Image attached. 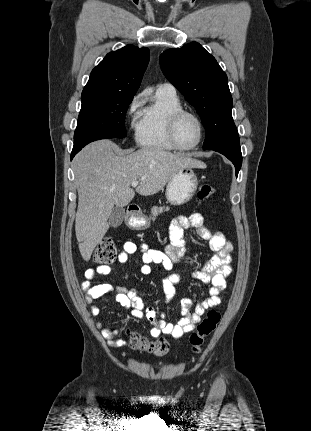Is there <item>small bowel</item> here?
Returning a JSON list of instances; mask_svg holds the SVG:
<instances>
[{"mask_svg": "<svg viewBox=\"0 0 311 431\" xmlns=\"http://www.w3.org/2000/svg\"><path fill=\"white\" fill-rule=\"evenodd\" d=\"M190 228L197 231L198 236L208 241L209 249L213 255L193 273V277L210 285L209 295L202 299L195 307L190 299H183L180 303L181 319L178 323L172 324L165 320L164 315L157 318L156 312L152 308L145 309L141 292L138 288L126 289L115 288L110 283H100L92 285L91 280L97 275H108L112 272L109 265H100L97 268L87 269L86 280L82 282L81 288L85 293V301L90 306L93 316L100 314L99 307L95 301L103 295L116 291V301L124 308L129 309L131 314L137 318H144L153 325L150 331L152 337L160 334L171 335L173 338H180L193 330L195 324L200 321L201 315L209 308L217 306L222 301V291L226 288V277L232 272L231 252L232 244L226 240L220 232H211L204 222L200 213H193L190 216H179L175 218L169 227L170 244L165 251L148 248L147 245H137L133 242H125L118 255L119 263H126L130 255L140 251L142 253L141 273L148 275L152 272V266L160 265L170 274L163 280L162 286L165 297L170 301L175 295V284L179 282L180 275L173 272L175 263L184 254V232ZM98 328L101 329L102 336L107 339L112 346H124L126 342L117 339L119 330H114L105 325L103 320L97 321Z\"/></svg>", "mask_w": 311, "mask_h": 431, "instance_id": "obj_1", "label": "small bowel"}]
</instances>
